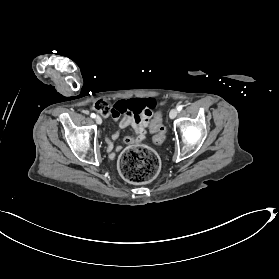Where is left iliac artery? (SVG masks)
<instances>
[{"mask_svg": "<svg viewBox=\"0 0 279 279\" xmlns=\"http://www.w3.org/2000/svg\"><path fill=\"white\" fill-rule=\"evenodd\" d=\"M177 110H178V111H181V110H182V106H181V105H178V106H177Z\"/></svg>", "mask_w": 279, "mask_h": 279, "instance_id": "44dca946", "label": "left iliac artery"}]
</instances>
